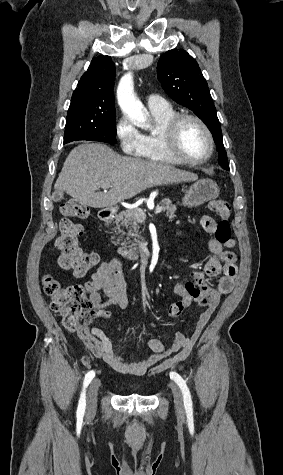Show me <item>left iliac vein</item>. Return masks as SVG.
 <instances>
[{
	"mask_svg": "<svg viewBox=\"0 0 283 475\" xmlns=\"http://www.w3.org/2000/svg\"><path fill=\"white\" fill-rule=\"evenodd\" d=\"M169 387L172 390L173 397H174V404L177 409L178 414L183 415L184 412V399H183V394L181 392L180 387L178 386L177 383L171 381L169 383Z\"/></svg>",
	"mask_w": 283,
	"mask_h": 475,
	"instance_id": "left-iliac-vein-1",
	"label": "left iliac vein"
}]
</instances>
